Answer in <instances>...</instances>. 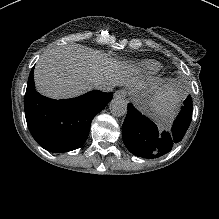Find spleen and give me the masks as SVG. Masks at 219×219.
Segmentation results:
<instances>
[{
    "label": "spleen",
    "instance_id": "1",
    "mask_svg": "<svg viewBox=\"0 0 219 219\" xmlns=\"http://www.w3.org/2000/svg\"><path fill=\"white\" fill-rule=\"evenodd\" d=\"M171 112L165 108H157L150 114L151 119L156 123L160 129H165L169 125Z\"/></svg>",
    "mask_w": 219,
    "mask_h": 219
}]
</instances>
